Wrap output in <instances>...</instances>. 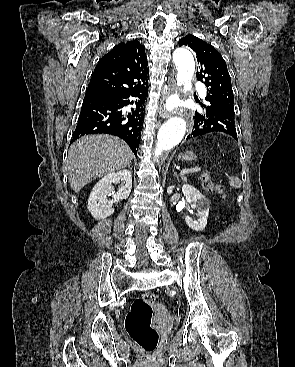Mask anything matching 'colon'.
I'll use <instances>...</instances> for the list:
<instances>
[{
  "label": "colon",
  "mask_w": 295,
  "mask_h": 367,
  "mask_svg": "<svg viewBox=\"0 0 295 367\" xmlns=\"http://www.w3.org/2000/svg\"><path fill=\"white\" fill-rule=\"evenodd\" d=\"M201 183L208 192H221L220 186L213 181L209 171L203 173ZM156 300L157 296L153 292L144 293L133 301L125 320L129 336L147 353L155 350L159 340L157 330L151 325Z\"/></svg>",
  "instance_id": "colon-1"
}]
</instances>
